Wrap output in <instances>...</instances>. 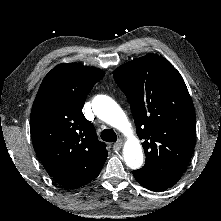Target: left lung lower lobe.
<instances>
[{"label": "left lung lower lobe", "mask_w": 221, "mask_h": 221, "mask_svg": "<svg viewBox=\"0 0 221 221\" xmlns=\"http://www.w3.org/2000/svg\"><path fill=\"white\" fill-rule=\"evenodd\" d=\"M135 179L138 183H140L145 188L152 190V191H157V192L163 191L173 186L178 181V180H141L136 177Z\"/></svg>", "instance_id": "left-lung-lower-lobe-1"}]
</instances>
